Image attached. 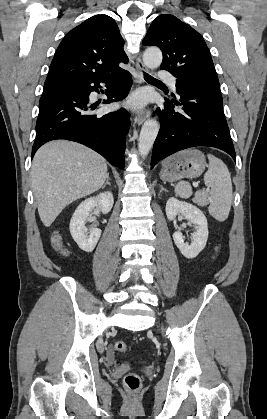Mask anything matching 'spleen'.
I'll use <instances>...</instances> for the list:
<instances>
[{
	"mask_svg": "<svg viewBox=\"0 0 267 419\" xmlns=\"http://www.w3.org/2000/svg\"><path fill=\"white\" fill-rule=\"evenodd\" d=\"M209 160L208 171L204 175V183L207 189L195 193V201L208 206L210 215L217 221L227 219L232 204V182L230 172L226 164L212 154L207 155ZM175 193L181 198H189L192 195L191 185L181 181L175 186Z\"/></svg>",
	"mask_w": 267,
	"mask_h": 419,
	"instance_id": "3e777b00",
	"label": "spleen"
}]
</instances>
